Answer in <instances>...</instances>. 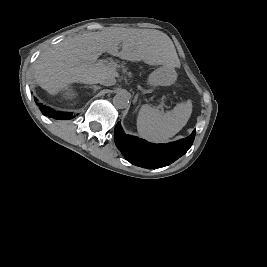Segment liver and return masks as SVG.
Here are the masks:
<instances>
[{
  "mask_svg": "<svg viewBox=\"0 0 267 267\" xmlns=\"http://www.w3.org/2000/svg\"><path fill=\"white\" fill-rule=\"evenodd\" d=\"M122 51L119 52V45ZM149 65L180 66L172 40L151 29L117 28L68 37L40 54L33 65L37 84L54 95L69 84H95L103 76H118L111 65L98 62L102 53Z\"/></svg>",
  "mask_w": 267,
  "mask_h": 267,
  "instance_id": "liver-1",
  "label": "liver"
}]
</instances>
